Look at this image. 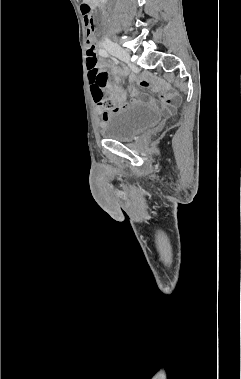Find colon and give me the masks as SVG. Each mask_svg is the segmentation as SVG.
Returning a JSON list of instances; mask_svg holds the SVG:
<instances>
[{"label":"colon","mask_w":241,"mask_h":379,"mask_svg":"<svg viewBox=\"0 0 241 379\" xmlns=\"http://www.w3.org/2000/svg\"><path fill=\"white\" fill-rule=\"evenodd\" d=\"M81 10L83 14L89 19L88 14L90 10L86 5H82ZM87 65L89 70H87V80L90 83V88L93 89V96L98 101V103L103 107L105 111H115L119 109L117 102L110 97L106 96L103 89L107 81V75L102 71L97 63V55L93 44V30L88 28L87 30Z\"/></svg>","instance_id":"5ec220e1"}]
</instances>
